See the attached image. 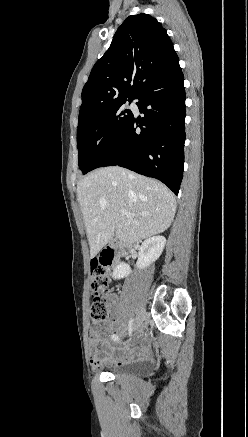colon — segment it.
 Here are the masks:
<instances>
[{"instance_id":"1","label":"colon","mask_w":248,"mask_h":437,"mask_svg":"<svg viewBox=\"0 0 248 437\" xmlns=\"http://www.w3.org/2000/svg\"><path fill=\"white\" fill-rule=\"evenodd\" d=\"M111 262L106 257H97L90 263V286L92 291V302L90 315L97 325L104 323L108 318L107 307L102 299L108 284V268Z\"/></svg>"}]
</instances>
